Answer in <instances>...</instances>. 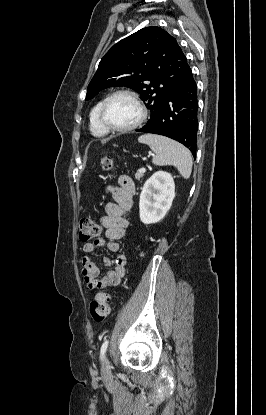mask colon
Masks as SVG:
<instances>
[{
	"instance_id": "colon-1",
	"label": "colon",
	"mask_w": 266,
	"mask_h": 415,
	"mask_svg": "<svg viewBox=\"0 0 266 415\" xmlns=\"http://www.w3.org/2000/svg\"><path fill=\"white\" fill-rule=\"evenodd\" d=\"M114 166L113 159L110 157L104 158L102 167L104 170H111ZM79 239L82 242H89L96 238L101 233V227L93 219L83 218L79 226ZM110 297L106 293H98L90 303V315L97 321H103L110 312Z\"/></svg>"
}]
</instances>
